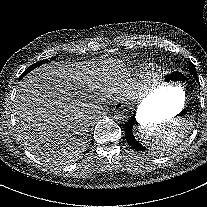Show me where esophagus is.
Masks as SVG:
<instances>
[{
	"label": "esophagus",
	"mask_w": 207,
	"mask_h": 207,
	"mask_svg": "<svg viewBox=\"0 0 207 207\" xmlns=\"http://www.w3.org/2000/svg\"><path fill=\"white\" fill-rule=\"evenodd\" d=\"M115 107L116 108H124L125 107V102L124 101H121V100H117L116 102H115Z\"/></svg>",
	"instance_id": "1"
}]
</instances>
